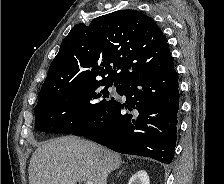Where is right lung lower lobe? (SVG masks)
I'll list each match as a JSON object with an SVG mask.
<instances>
[{
    "instance_id": "98d812e1",
    "label": "right lung lower lobe",
    "mask_w": 224,
    "mask_h": 184,
    "mask_svg": "<svg viewBox=\"0 0 224 184\" xmlns=\"http://www.w3.org/2000/svg\"><path fill=\"white\" fill-rule=\"evenodd\" d=\"M119 94L126 97L125 103L115 100L101 116L72 134L88 137L116 152L170 163L179 110L174 67L131 79L121 85Z\"/></svg>"
}]
</instances>
